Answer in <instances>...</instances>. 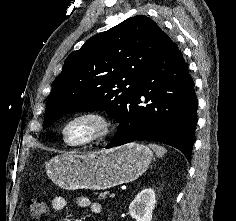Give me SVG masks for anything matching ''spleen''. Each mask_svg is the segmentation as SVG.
Wrapping results in <instances>:
<instances>
[{"mask_svg":"<svg viewBox=\"0 0 236 221\" xmlns=\"http://www.w3.org/2000/svg\"><path fill=\"white\" fill-rule=\"evenodd\" d=\"M149 147L155 152L158 157H162L166 152V149L159 144H149Z\"/></svg>","mask_w":236,"mask_h":221,"instance_id":"3e777b00","label":"spleen"}]
</instances>
